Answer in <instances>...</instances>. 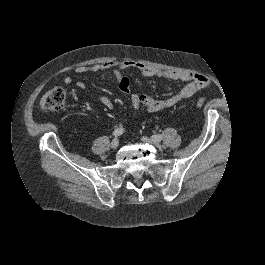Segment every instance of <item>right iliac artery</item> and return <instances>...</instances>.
Masks as SVG:
<instances>
[{
    "label": "right iliac artery",
    "instance_id": "82829eb1",
    "mask_svg": "<svg viewBox=\"0 0 265 265\" xmlns=\"http://www.w3.org/2000/svg\"><path fill=\"white\" fill-rule=\"evenodd\" d=\"M124 133V129L123 128H117L113 131V136L117 137L120 136Z\"/></svg>",
    "mask_w": 265,
    "mask_h": 265
}]
</instances>
